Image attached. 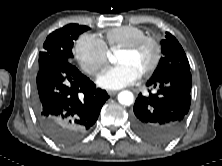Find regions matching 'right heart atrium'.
Masks as SVG:
<instances>
[{
	"instance_id": "d8ad5b80",
	"label": "right heart atrium",
	"mask_w": 222,
	"mask_h": 166,
	"mask_svg": "<svg viewBox=\"0 0 222 166\" xmlns=\"http://www.w3.org/2000/svg\"><path fill=\"white\" fill-rule=\"evenodd\" d=\"M73 54L81 70L89 76H96L107 62V47L94 34L80 35L74 45Z\"/></svg>"
}]
</instances>
